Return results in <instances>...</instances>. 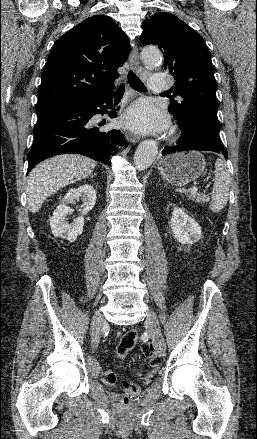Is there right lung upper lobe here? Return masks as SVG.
Segmentation results:
<instances>
[{
	"label": "right lung upper lobe",
	"instance_id": "right-lung-upper-lobe-1",
	"mask_svg": "<svg viewBox=\"0 0 257 439\" xmlns=\"http://www.w3.org/2000/svg\"><path fill=\"white\" fill-rule=\"evenodd\" d=\"M130 49L127 35L110 17L85 19L51 49L38 90L37 114L109 94Z\"/></svg>",
	"mask_w": 257,
	"mask_h": 439
}]
</instances>
